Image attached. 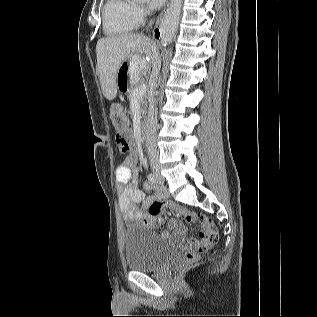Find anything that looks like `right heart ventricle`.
I'll list each match as a JSON object with an SVG mask.
<instances>
[{"label":"right heart ventricle","mask_w":317,"mask_h":317,"mask_svg":"<svg viewBox=\"0 0 317 317\" xmlns=\"http://www.w3.org/2000/svg\"><path fill=\"white\" fill-rule=\"evenodd\" d=\"M102 14L103 29L108 36L129 33L139 24L135 6L129 0H106Z\"/></svg>","instance_id":"e07e8e85"}]
</instances>
